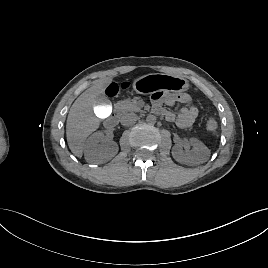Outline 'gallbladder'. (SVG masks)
<instances>
[{"mask_svg": "<svg viewBox=\"0 0 268 268\" xmlns=\"http://www.w3.org/2000/svg\"><path fill=\"white\" fill-rule=\"evenodd\" d=\"M94 110L98 117H108L111 114L112 105L106 96L102 95L101 98L94 103Z\"/></svg>", "mask_w": 268, "mask_h": 268, "instance_id": "gallbladder-1", "label": "gallbladder"}]
</instances>
